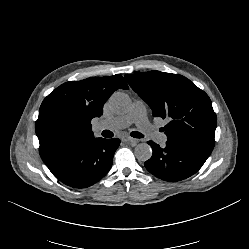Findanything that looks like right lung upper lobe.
Wrapping results in <instances>:
<instances>
[{
  "label": "right lung upper lobe",
  "instance_id": "cb5924a9",
  "mask_svg": "<svg viewBox=\"0 0 249 249\" xmlns=\"http://www.w3.org/2000/svg\"><path fill=\"white\" fill-rule=\"evenodd\" d=\"M128 89L119 74L66 82L42 102L35 123L43 161L74 142L94 139L91 120L103 114V105L117 89Z\"/></svg>",
  "mask_w": 249,
  "mask_h": 249
}]
</instances>
